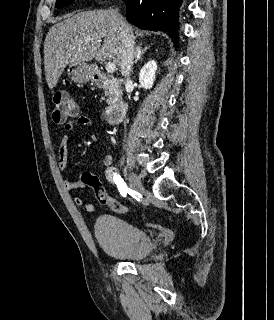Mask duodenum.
Listing matches in <instances>:
<instances>
[{
  "label": "duodenum",
  "mask_w": 274,
  "mask_h": 320,
  "mask_svg": "<svg viewBox=\"0 0 274 320\" xmlns=\"http://www.w3.org/2000/svg\"><path fill=\"white\" fill-rule=\"evenodd\" d=\"M94 81L99 87H105L108 85H122L123 80L119 77L110 78L106 74L96 71L93 73ZM127 111V102L125 100H117L111 107H109L105 113V121L110 124L119 123L123 120Z\"/></svg>",
  "instance_id": "1"
}]
</instances>
